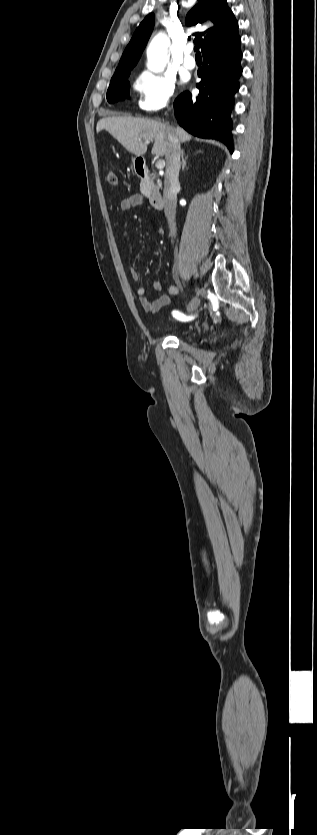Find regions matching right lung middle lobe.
I'll list each match as a JSON object with an SVG mask.
<instances>
[{"label": "right lung middle lobe", "instance_id": "obj_1", "mask_svg": "<svg viewBox=\"0 0 317 835\" xmlns=\"http://www.w3.org/2000/svg\"><path fill=\"white\" fill-rule=\"evenodd\" d=\"M132 69L115 71L107 91V101L114 103L129 97L128 77Z\"/></svg>", "mask_w": 317, "mask_h": 835}]
</instances>
